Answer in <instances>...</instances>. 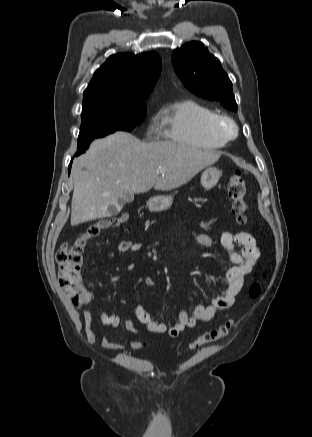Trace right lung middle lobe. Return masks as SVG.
<instances>
[{"label":"right lung middle lobe","instance_id":"dd1d6c3e","mask_svg":"<svg viewBox=\"0 0 312 437\" xmlns=\"http://www.w3.org/2000/svg\"><path fill=\"white\" fill-rule=\"evenodd\" d=\"M147 107L136 109H116L98 107L83 109L82 124L78 137L76 156L84 153L95 138L105 137L116 131H131L146 116Z\"/></svg>","mask_w":312,"mask_h":437}]
</instances>
